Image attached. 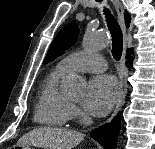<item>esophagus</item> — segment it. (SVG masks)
<instances>
[{
	"mask_svg": "<svg viewBox=\"0 0 155 149\" xmlns=\"http://www.w3.org/2000/svg\"><path fill=\"white\" fill-rule=\"evenodd\" d=\"M111 2L116 10L118 21L123 32L124 51L119 65V94L117 98V104L111 117L108 119V122H110L120 111V108L124 102L125 94L127 90V80H126L127 70L125 66V54H126L125 52H126L127 38H126V26L124 21V9H123L122 3L119 0H111Z\"/></svg>",
	"mask_w": 155,
	"mask_h": 149,
	"instance_id": "esophagus-1",
	"label": "esophagus"
}]
</instances>
